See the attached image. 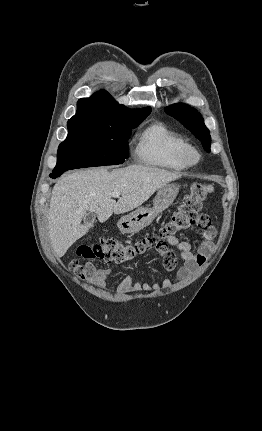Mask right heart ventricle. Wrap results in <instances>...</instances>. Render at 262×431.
I'll return each mask as SVG.
<instances>
[{
	"mask_svg": "<svg viewBox=\"0 0 262 431\" xmlns=\"http://www.w3.org/2000/svg\"><path fill=\"white\" fill-rule=\"evenodd\" d=\"M189 143L179 133L161 122L146 126L138 135L135 156L149 166L184 170L187 165L182 160V152Z\"/></svg>",
	"mask_w": 262,
	"mask_h": 431,
	"instance_id": "e07e8e85",
	"label": "right heart ventricle"
}]
</instances>
